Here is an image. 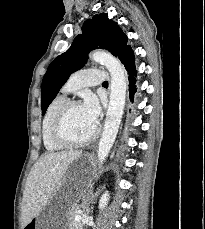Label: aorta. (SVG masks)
<instances>
[{
	"label": "aorta",
	"instance_id": "1",
	"mask_svg": "<svg viewBox=\"0 0 205 229\" xmlns=\"http://www.w3.org/2000/svg\"><path fill=\"white\" fill-rule=\"evenodd\" d=\"M90 57L104 65L111 75L109 107L97 151L98 161L102 164L108 156L118 133L125 106L127 79L122 64L109 52L96 50Z\"/></svg>",
	"mask_w": 205,
	"mask_h": 229
}]
</instances>
